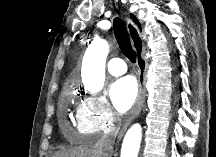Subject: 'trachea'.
Instances as JSON below:
<instances>
[{"instance_id":"3493384b","label":"trachea","mask_w":216,"mask_h":157,"mask_svg":"<svg viewBox=\"0 0 216 157\" xmlns=\"http://www.w3.org/2000/svg\"><path fill=\"white\" fill-rule=\"evenodd\" d=\"M113 30L115 34V38L117 43L122 51V53L132 62H136V52L133 50L131 41L129 38V34L126 28L124 21L118 17H116L113 21ZM134 43L136 45V49L141 52L142 42L136 31H134ZM144 63V61L141 59Z\"/></svg>"}]
</instances>
